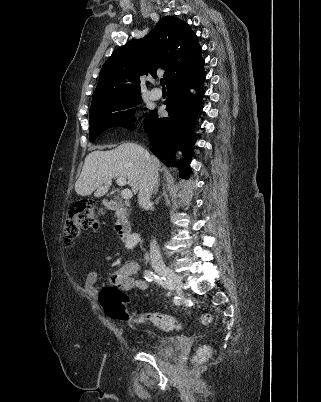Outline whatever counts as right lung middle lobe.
Listing matches in <instances>:
<instances>
[{"instance_id":"right-lung-middle-lobe-1","label":"right lung middle lobe","mask_w":321,"mask_h":402,"mask_svg":"<svg viewBox=\"0 0 321 402\" xmlns=\"http://www.w3.org/2000/svg\"><path fill=\"white\" fill-rule=\"evenodd\" d=\"M141 99L140 94L119 98L107 104L90 108V141L93 142L106 129L114 126L130 128L134 124V116L129 107H133Z\"/></svg>"}]
</instances>
